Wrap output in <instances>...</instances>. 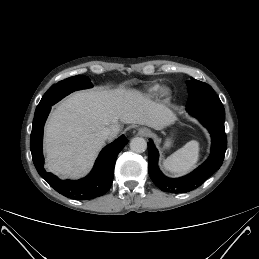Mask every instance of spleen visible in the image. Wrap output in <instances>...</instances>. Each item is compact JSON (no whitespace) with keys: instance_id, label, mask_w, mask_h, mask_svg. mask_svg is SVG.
<instances>
[{"instance_id":"3e777b00","label":"spleen","mask_w":259,"mask_h":259,"mask_svg":"<svg viewBox=\"0 0 259 259\" xmlns=\"http://www.w3.org/2000/svg\"><path fill=\"white\" fill-rule=\"evenodd\" d=\"M199 142L191 140L167 157L163 162L165 170L175 174L190 172L199 160Z\"/></svg>"}]
</instances>
